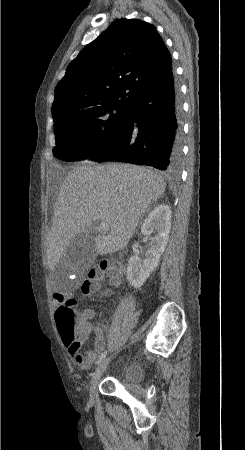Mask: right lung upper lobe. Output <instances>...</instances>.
<instances>
[{
  "label": "right lung upper lobe",
  "mask_w": 245,
  "mask_h": 450,
  "mask_svg": "<svg viewBox=\"0 0 245 450\" xmlns=\"http://www.w3.org/2000/svg\"><path fill=\"white\" fill-rule=\"evenodd\" d=\"M172 69L156 28L139 19H119L69 64L55 88L52 112L130 105Z\"/></svg>",
  "instance_id": "1"
}]
</instances>
